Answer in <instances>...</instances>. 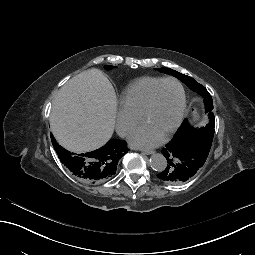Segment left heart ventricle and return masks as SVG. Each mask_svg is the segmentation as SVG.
I'll return each mask as SVG.
<instances>
[{
  "mask_svg": "<svg viewBox=\"0 0 255 255\" xmlns=\"http://www.w3.org/2000/svg\"><path fill=\"white\" fill-rule=\"evenodd\" d=\"M181 106V92L177 84H162L155 95L150 112L142 120L147 126L164 138L175 124Z\"/></svg>",
  "mask_w": 255,
  "mask_h": 255,
  "instance_id": "b2bd125f",
  "label": "left heart ventricle"
}]
</instances>
